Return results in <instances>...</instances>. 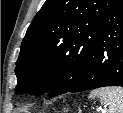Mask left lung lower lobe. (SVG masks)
<instances>
[{
    "label": "left lung lower lobe",
    "instance_id": "0a47b994",
    "mask_svg": "<svg viewBox=\"0 0 123 113\" xmlns=\"http://www.w3.org/2000/svg\"><path fill=\"white\" fill-rule=\"evenodd\" d=\"M105 86H123V0H117L104 16L84 75L66 92Z\"/></svg>",
    "mask_w": 123,
    "mask_h": 113
}]
</instances>
